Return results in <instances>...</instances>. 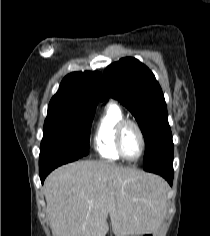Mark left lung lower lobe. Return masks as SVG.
<instances>
[{
	"label": "left lung lower lobe",
	"instance_id": "1",
	"mask_svg": "<svg viewBox=\"0 0 210 236\" xmlns=\"http://www.w3.org/2000/svg\"><path fill=\"white\" fill-rule=\"evenodd\" d=\"M143 169L164 177L170 186L173 182V143L157 152L149 161L144 162Z\"/></svg>",
	"mask_w": 210,
	"mask_h": 236
}]
</instances>
